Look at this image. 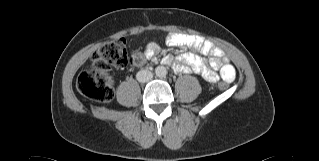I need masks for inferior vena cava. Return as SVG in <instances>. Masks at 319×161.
<instances>
[{
    "instance_id": "obj_1",
    "label": "inferior vena cava",
    "mask_w": 319,
    "mask_h": 161,
    "mask_svg": "<svg viewBox=\"0 0 319 161\" xmlns=\"http://www.w3.org/2000/svg\"><path fill=\"white\" fill-rule=\"evenodd\" d=\"M136 78L139 82L145 83L150 81L153 78V74L151 71H148V70H140L137 73Z\"/></svg>"
}]
</instances>
